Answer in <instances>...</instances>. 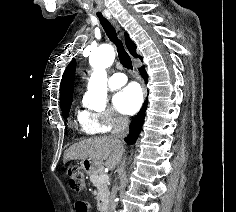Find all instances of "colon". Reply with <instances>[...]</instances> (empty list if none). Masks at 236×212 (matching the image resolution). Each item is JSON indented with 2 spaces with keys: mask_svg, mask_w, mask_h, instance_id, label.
<instances>
[{
  "mask_svg": "<svg viewBox=\"0 0 236 212\" xmlns=\"http://www.w3.org/2000/svg\"><path fill=\"white\" fill-rule=\"evenodd\" d=\"M70 187L75 191H81L85 188V176L76 166H72L67 171Z\"/></svg>",
  "mask_w": 236,
  "mask_h": 212,
  "instance_id": "5ec220e1",
  "label": "colon"
}]
</instances>
